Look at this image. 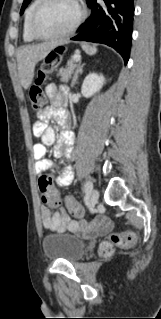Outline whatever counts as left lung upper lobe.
Returning a JSON list of instances; mask_svg holds the SVG:
<instances>
[{
    "label": "left lung upper lobe",
    "instance_id": "5c2ea615",
    "mask_svg": "<svg viewBox=\"0 0 161 319\" xmlns=\"http://www.w3.org/2000/svg\"><path fill=\"white\" fill-rule=\"evenodd\" d=\"M31 0H24L20 14H22L25 10V8L27 7V5L30 3ZM89 0H86V2L88 3Z\"/></svg>",
    "mask_w": 161,
    "mask_h": 319
}]
</instances>
